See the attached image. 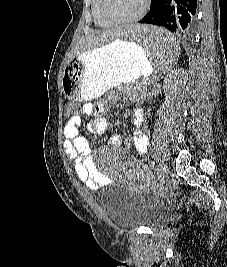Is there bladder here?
I'll list each match as a JSON object with an SVG mask.
<instances>
[{
  "label": "bladder",
  "instance_id": "1",
  "mask_svg": "<svg viewBox=\"0 0 227 267\" xmlns=\"http://www.w3.org/2000/svg\"><path fill=\"white\" fill-rule=\"evenodd\" d=\"M102 204L110 221L120 227H156L169 216L168 207L154 201L151 195H139L121 186L106 192Z\"/></svg>",
  "mask_w": 227,
  "mask_h": 267
}]
</instances>
